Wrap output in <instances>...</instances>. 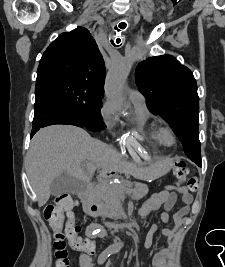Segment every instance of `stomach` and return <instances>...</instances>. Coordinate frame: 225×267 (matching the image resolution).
Segmentation results:
<instances>
[{"label": "stomach", "mask_w": 225, "mask_h": 267, "mask_svg": "<svg viewBox=\"0 0 225 267\" xmlns=\"http://www.w3.org/2000/svg\"><path fill=\"white\" fill-rule=\"evenodd\" d=\"M169 170V162L168 160H164L162 162H159L154 167V172L151 173L149 178H156L162 174H165Z\"/></svg>", "instance_id": "1"}]
</instances>
